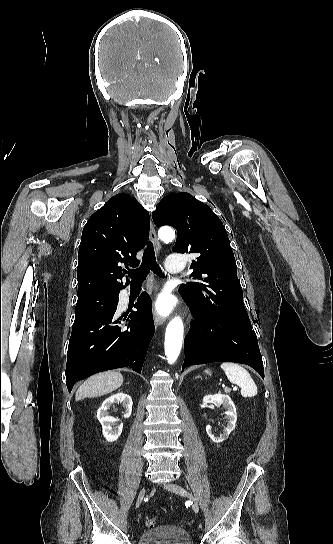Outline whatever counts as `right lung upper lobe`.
<instances>
[{"label": "right lung upper lobe", "instance_id": "obj_1", "mask_svg": "<svg viewBox=\"0 0 333 544\" xmlns=\"http://www.w3.org/2000/svg\"><path fill=\"white\" fill-rule=\"evenodd\" d=\"M149 235V213L132 196L110 198L87 221L78 252V300L125 288L122 267L139 264L136 254Z\"/></svg>", "mask_w": 333, "mask_h": 544}]
</instances>
